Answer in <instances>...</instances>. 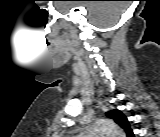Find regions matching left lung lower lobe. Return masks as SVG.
I'll list each match as a JSON object with an SVG mask.
<instances>
[{
	"label": "left lung lower lobe",
	"mask_w": 160,
	"mask_h": 137,
	"mask_svg": "<svg viewBox=\"0 0 160 137\" xmlns=\"http://www.w3.org/2000/svg\"><path fill=\"white\" fill-rule=\"evenodd\" d=\"M128 136L132 137L133 136V132L130 131L129 133H127Z\"/></svg>",
	"instance_id": "obj_1"
}]
</instances>
